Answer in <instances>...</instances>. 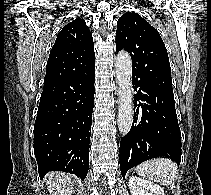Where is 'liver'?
Returning a JSON list of instances; mask_svg holds the SVG:
<instances>
[{"mask_svg": "<svg viewBox=\"0 0 211 195\" xmlns=\"http://www.w3.org/2000/svg\"><path fill=\"white\" fill-rule=\"evenodd\" d=\"M76 179L64 172H50L47 174V188L52 195H70Z\"/></svg>", "mask_w": 211, "mask_h": 195, "instance_id": "liver-1", "label": "liver"}]
</instances>
